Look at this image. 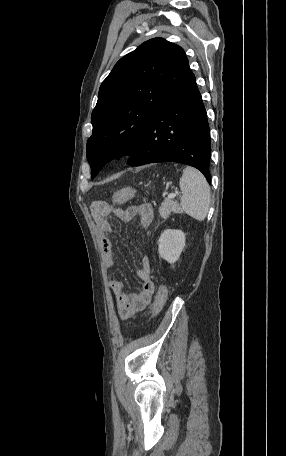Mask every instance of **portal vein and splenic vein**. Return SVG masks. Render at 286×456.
Returning <instances> with one entry per match:
<instances>
[{"instance_id":"18ae733b","label":"portal vein and splenic vein","mask_w":286,"mask_h":456,"mask_svg":"<svg viewBox=\"0 0 286 456\" xmlns=\"http://www.w3.org/2000/svg\"><path fill=\"white\" fill-rule=\"evenodd\" d=\"M178 195H179L178 192H176V193H170V194L168 195V198H169V199H174V198L177 197Z\"/></svg>"}]
</instances>
